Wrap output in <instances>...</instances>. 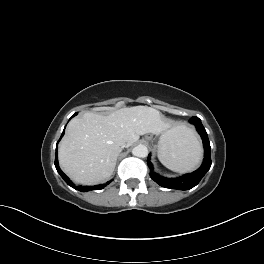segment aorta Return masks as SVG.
I'll return each mask as SVG.
<instances>
[{
	"label": "aorta",
	"mask_w": 264,
	"mask_h": 264,
	"mask_svg": "<svg viewBox=\"0 0 264 264\" xmlns=\"http://www.w3.org/2000/svg\"><path fill=\"white\" fill-rule=\"evenodd\" d=\"M132 154L136 157L144 158L148 155V149L145 145H138L133 148Z\"/></svg>",
	"instance_id": "762f6f07"
}]
</instances>
